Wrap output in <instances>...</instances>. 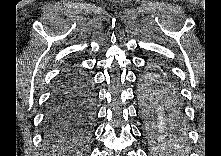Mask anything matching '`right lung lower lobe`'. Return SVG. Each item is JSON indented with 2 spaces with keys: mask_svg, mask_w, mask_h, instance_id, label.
Returning <instances> with one entry per match:
<instances>
[{
  "mask_svg": "<svg viewBox=\"0 0 221 156\" xmlns=\"http://www.w3.org/2000/svg\"><path fill=\"white\" fill-rule=\"evenodd\" d=\"M95 90L84 73L67 70L56 82L47 104V131L89 127L94 119Z\"/></svg>",
  "mask_w": 221,
  "mask_h": 156,
  "instance_id": "98d812e1",
  "label": "right lung lower lobe"
}]
</instances>
